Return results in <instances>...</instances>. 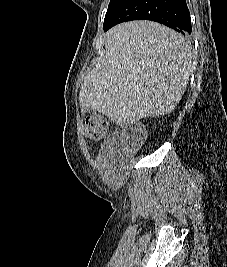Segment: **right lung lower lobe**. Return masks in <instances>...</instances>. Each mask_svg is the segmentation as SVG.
<instances>
[{"mask_svg": "<svg viewBox=\"0 0 227 267\" xmlns=\"http://www.w3.org/2000/svg\"><path fill=\"white\" fill-rule=\"evenodd\" d=\"M131 20L159 22L181 33L192 31L186 0H127L104 31Z\"/></svg>", "mask_w": 227, "mask_h": 267, "instance_id": "right-lung-lower-lobe-1", "label": "right lung lower lobe"}]
</instances>
